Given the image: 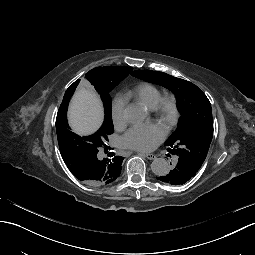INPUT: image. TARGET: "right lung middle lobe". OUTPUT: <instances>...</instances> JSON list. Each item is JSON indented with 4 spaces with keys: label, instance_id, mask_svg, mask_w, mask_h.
Here are the masks:
<instances>
[{
    "label": "right lung middle lobe",
    "instance_id": "1",
    "mask_svg": "<svg viewBox=\"0 0 255 255\" xmlns=\"http://www.w3.org/2000/svg\"><path fill=\"white\" fill-rule=\"evenodd\" d=\"M132 71V67L117 66L110 70L96 86V90L101 96L105 109V119L102 127L113 125L112 123V99L109 92ZM101 127V128H102ZM73 151L81 154L90 152V143L88 141L76 140L73 142Z\"/></svg>",
    "mask_w": 255,
    "mask_h": 255
}]
</instances>
